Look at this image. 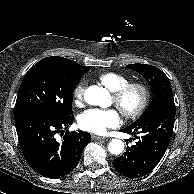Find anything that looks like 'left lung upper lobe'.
I'll return each instance as SVG.
<instances>
[{
    "instance_id": "1",
    "label": "left lung upper lobe",
    "mask_w": 194,
    "mask_h": 194,
    "mask_svg": "<svg viewBox=\"0 0 194 194\" xmlns=\"http://www.w3.org/2000/svg\"><path fill=\"white\" fill-rule=\"evenodd\" d=\"M127 68L142 74L154 93V99L142 116L156 110L175 109L171 84L163 71L154 66L139 63L127 65Z\"/></svg>"
}]
</instances>
